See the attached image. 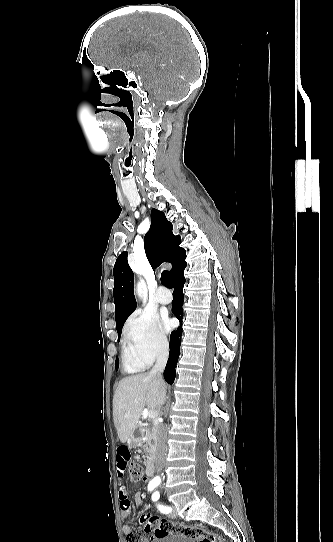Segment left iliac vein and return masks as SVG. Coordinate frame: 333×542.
<instances>
[{
	"label": "left iliac vein",
	"mask_w": 333,
	"mask_h": 542,
	"mask_svg": "<svg viewBox=\"0 0 333 542\" xmlns=\"http://www.w3.org/2000/svg\"><path fill=\"white\" fill-rule=\"evenodd\" d=\"M172 508H173V511L171 512L170 516H171V517H175V516H176L175 507L172 506Z\"/></svg>",
	"instance_id": "left-iliac-vein-1"
}]
</instances>
